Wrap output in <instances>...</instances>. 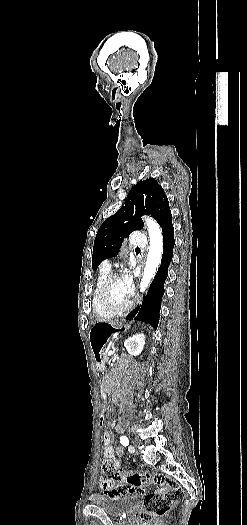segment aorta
<instances>
[{
    "label": "aorta",
    "instance_id": "aorta-1",
    "mask_svg": "<svg viewBox=\"0 0 247 525\" xmlns=\"http://www.w3.org/2000/svg\"><path fill=\"white\" fill-rule=\"evenodd\" d=\"M149 233V252L144 268L143 277L140 283V290L145 291L155 276L162 258L163 235L160 226L151 218H144Z\"/></svg>",
    "mask_w": 247,
    "mask_h": 525
}]
</instances>
